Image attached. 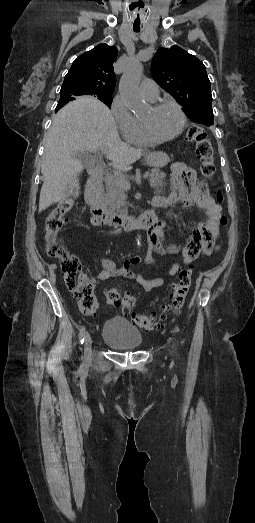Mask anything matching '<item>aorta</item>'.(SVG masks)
<instances>
[{
  "label": "aorta",
  "instance_id": "aorta-1",
  "mask_svg": "<svg viewBox=\"0 0 255 523\" xmlns=\"http://www.w3.org/2000/svg\"><path fill=\"white\" fill-rule=\"evenodd\" d=\"M143 73V66L139 62L131 63L123 73L119 92L125 105L133 113H141L145 109V103L139 91V82Z\"/></svg>",
  "mask_w": 255,
  "mask_h": 523
}]
</instances>
